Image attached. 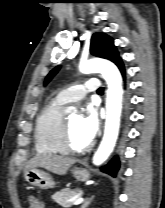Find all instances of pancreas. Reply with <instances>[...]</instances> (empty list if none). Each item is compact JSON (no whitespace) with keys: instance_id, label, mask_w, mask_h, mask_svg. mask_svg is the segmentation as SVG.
Masks as SVG:
<instances>
[{"instance_id":"obj_1","label":"pancreas","mask_w":165,"mask_h":208,"mask_svg":"<svg viewBox=\"0 0 165 208\" xmlns=\"http://www.w3.org/2000/svg\"><path fill=\"white\" fill-rule=\"evenodd\" d=\"M77 194H81L79 189L71 190L68 188H64L61 191L56 192L54 195H52V199L60 206L68 208L73 204V202L69 200Z\"/></svg>"}]
</instances>
